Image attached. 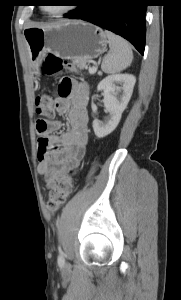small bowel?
<instances>
[{
	"instance_id": "obj_1",
	"label": "small bowel",
	"mask_w": 181,
	"mask_h": 300,
	"mask_svg": "<svg viewBox=\"0 0 181 300\" xmlns=\"http://www.w3.org/2000/svg\"><path fill=\"white\" fill-rule=\"evenodd\" d=\"M88 90L70 77L62 78L54 100L55 112L65 115L70 128L58 133L59 120L48 121V131L38 140V172L48 188L56 187L60 178L79 167L88 144Z\"/></svg>"
}]
</instances>
